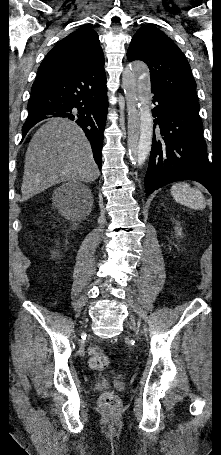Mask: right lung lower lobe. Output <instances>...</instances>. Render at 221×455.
<instances>
[{
    "label": "right lung lower lobe",
    "mask_w": 221,
    "mask_h": 455,
    "mask_svg": "<svg viewBox=\"0 0 221 455\" xmlns=\"http://www.w3.org/2000/svg\"><path fill=\"white\" fill-rule=\"evenodd\" d=\"M107 106L104 61L95 62L32 93L28 101L29 114L22 128L23 138L41 120L67 117L84 130L100 169Z\"/></svg>",
    "instance_id": "98d812e1"
}]
</instances>
